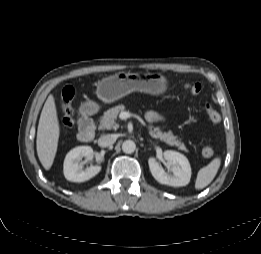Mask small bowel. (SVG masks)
Listing matches in <instances>:
<instances>
[{"label": "small bowel", "instance_id": "small-bowel-1", "mask_svg": "<svg viewBox=\"0 0 261 254\" xmlns=\"http://www.w3.org/2000/svg\"><path fill=\"white\" fill-rule=\"evenodd\" d=\"M146 119L149 122H159L163 120V116L155 111H148L146 113Z\"/></svg>", "mask_w": 261, "mask_h": 254}]
</instances>
